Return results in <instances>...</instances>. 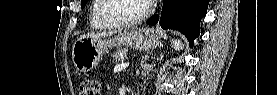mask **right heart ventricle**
Segmentation results:
<instances>
[{
	"instance_id": "right-heart-ventricle-1",
	"label": "right heart ventricle",
	"mask_w": 277,
	"mask_h": 95,
	"mask_svg": "<svg viewBox=\"0 0 277 95\" xmlns=\"http://www.w3.org/2000/svg\"><path fill=\"white\" fill-rule=\"evenodd\" d=\"M102 0H93L90 8V25L95 29H106L110 26L96 16L97 9L101 5Z\"/></svg>"
}]
</instances>
